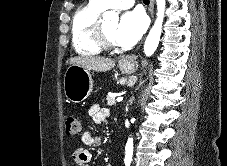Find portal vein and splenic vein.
Listing matches in <instances>:
<instances>
[{
    "label": "portal vein and splenic vein",
    "instance_id": "18ae733b",
    "mask_svg": "<svg viewBox=\"0 0 227 166\" xmlns=\"http://www.w3.org/2000/svg\"><path fill=\"white\" fill-rule=\"evenodd\" d=\"M122 100H123V97L117 98V102H120V101H122Z\"/></svg>",
    "mask_w": 227,
    "mask_h": 166
}]
</instances>
